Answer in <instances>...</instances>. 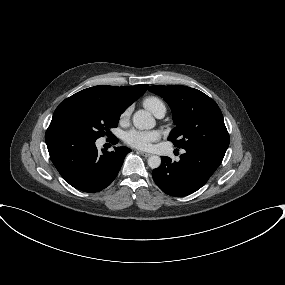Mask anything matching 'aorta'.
<instances>
[{
	"instance_id": "762f6f07",
	"label": "aorta",
	"mask_w": 285,
	"mask_h": 285,
	"mask_svg": "<svg viewBox=\"0 0 285 285\" xmlns=\"http://www.w3.org/2000/svg\"><path fill=\"white\" fill-rule=\"evenodd\" d=\"M133 124L138 129H151L155 126V119L145 110H138L133 115ZM161 164V158L157 155H152L148 158V165L152 169H156Z\"/></svg>"
}]
</instances>
